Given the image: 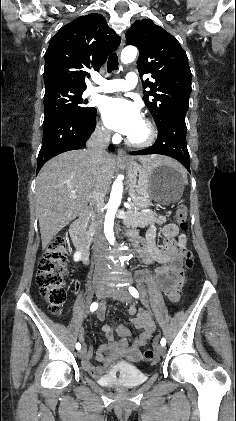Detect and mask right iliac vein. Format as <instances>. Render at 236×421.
I'll return each instance as SVG.
<instances>
[{
    "instance_id": "obj_1",
    "label": "right iliac vein",
    "mask_w": 236,
    "mask_h": 421,
    "mask_svg": "<svg viewBox=\"0 0 236 421\" xmlns=\"http://www.w3.org/2000/svg\"><path fill=\"white\" fill-rule=\"evenodd\" d=\"M104 283H105L104 279H100L96 282L95 294H96V297L99 299L103 298L106 294V290L103 287ZM85 353H86V348L83 347L82 349L79 350L78 357L79 358L84 357Z\"/></svg>"
}]
</instances>
